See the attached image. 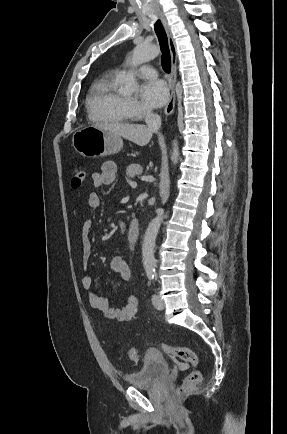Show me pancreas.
Listing matches in <instances>:
<instances>
[{
  "mask_svg": "<svg viewBox=\"0 0 287 434\" xmlns=\"http://www.w3.org/2000/svg\"><path fill=\"white\" fill-rule=\"evenodd\" d=\"M142 166L139 164H131L126 169V175L129 178H135V176H139L142 174Z\"/></svg>",
  "mask_w": 287,
  "mask_h": 434,
  "instance_id": "1",
  "label": "pancreas"
}]
</instances>
